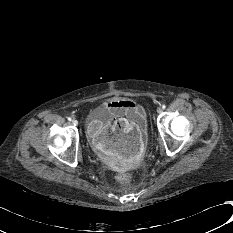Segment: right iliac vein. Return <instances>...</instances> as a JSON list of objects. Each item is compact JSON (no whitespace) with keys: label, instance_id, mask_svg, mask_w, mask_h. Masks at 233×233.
<instances>
[{"label":"right iliac vein","instance_id":"1","mask_svg":"<svg viewBox=\"0 0 233 233\" xmlns=\"http://www.w3.org/2000/svg\"><path fill=\"white\" fill-rule=\"evenodd\" d=\"M72 124L74 125V126H78V121L77 120H72Z\"/></svg>","mask_w":233,"mask_h":233}]
</instances>
